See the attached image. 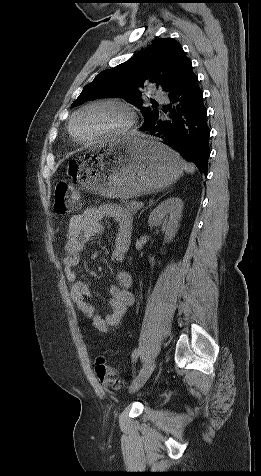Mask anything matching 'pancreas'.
<instances>
[{
	"label": "pancreas",
	"instance_id": "1",
	"mask_svg": "<svg viewBox=\"0 0 261 476\" xmlns=\"http://www.w3.org/2000/svg\"><path fill=\"white\" fill-rule=\"evenodd\" d=\"M142 206L139 205V203L137 201H125L124 202V210L125 212L129 213V214H136L140 209H141Z\"/></svg>",
	"mask_w": 261,
	"mask_h": 476
}]
</instances>
